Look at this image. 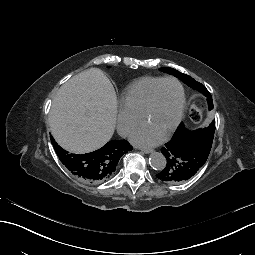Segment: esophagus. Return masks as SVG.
Here are the masks:
<instances>
[{
  "label": "esophagus",
  "instance_id": "esophagus-1",
  "mask_svg": "<svg viewBox=\"0 0 255 255\" xmlns=\"http://www.w3.org/2000/svg\"><path fill=\"white\" fill-rule=\"evenodd\" d=\"M141 151H143L145 154H149V153L153 152V150L149 149V148H142Z\"/></svg>",
  "mask_w": 255,
  "mask_h": 255
}]
</instances>
